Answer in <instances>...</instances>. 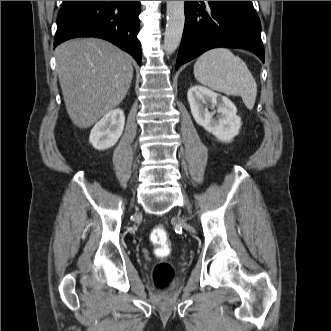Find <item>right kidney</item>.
Returning a JSON list of instances; mask_svg holds the SVG:
<instances>
[{"label": "right kidney", "instance_id": "1", "mask_svg": "<svg viewBox=\"0 0 331 331\" xmlns=\"http://www.w3.org/2000/svg\"><path fill=\"white\" fill-rule=\"evenodd\" d=\"M125 116L121 109H114L95 124L91 130L89 141L97 150L113 147L122 135Z\"/></svg>", "mask_w": 331, "mask_h": 331}]
</instances>
